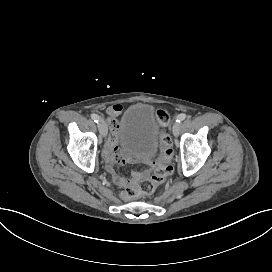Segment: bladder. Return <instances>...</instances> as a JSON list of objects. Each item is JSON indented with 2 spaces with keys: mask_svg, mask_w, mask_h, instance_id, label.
I'll list each match as a JSON object with an SVG mask.
<instances>
[{
  "mask_svg": "<svg viewBox=\"0 0 272 272\" xmlns=\"http://www.w3.org/2000/svg\"><path fill=\"white\" fill-rule=\"evenodd\" d=\"M162 128L161 111L155 106L140 102L130 104L120 119L117 137L120 148L124 146L131 158L143 155L144 162H150L160 149Z\"/></svg>",
  "mask_w": 272,
  "mask_h": 272,
  "instance_id": "31cf9c89",
  "label": "bladder"
}]
</instances>
